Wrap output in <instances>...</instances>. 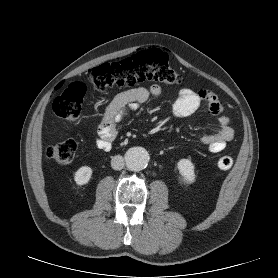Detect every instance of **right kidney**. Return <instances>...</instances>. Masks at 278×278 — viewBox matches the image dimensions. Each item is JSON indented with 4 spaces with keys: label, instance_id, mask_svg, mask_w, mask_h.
I'll return each mask as SVG.
<instances>
[{
    "label": "right kidney",
    "instance_id": "obj_1",
    "mask_svg": "<svg viewBox=\"0 0 278 278\" xmlns=\"http://www.w3.org/2000/svg\"><path fill=\"white\" fill-rule=\"evenodd\" d=\"M92 176V169L88 166H82L74 175V180L78 185L87 184Z\"/></svg>",
    "mask_w": 278,
    "mask_h": 278
}]
</instances>
